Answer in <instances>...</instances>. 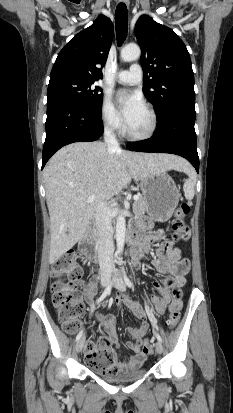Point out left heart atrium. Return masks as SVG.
<instances>
[{"instance_id":"left-heart-atrium-1","label":"left heart atrium","mask_w":233,"mask_h":413,"mask_svg":"<svg viewBox=\"0 0 233 413\" xmlns=\"http://www.w3.org/2000/svg\"><path fill=\"white\" fill-rule=\"evenodd\" d=\"M117 100L120 103L121 112L127 125L139 115L145 106L142 97L136 92H119Z\"/></svg>"}]
</instances>
